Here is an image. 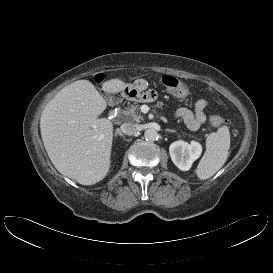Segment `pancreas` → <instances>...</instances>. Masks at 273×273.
Returning a JSON list of instances; mask_svg holds the SVG:
<instances>
[{
	"instance_id": "cf45deb5",
	"label": "pancreas",
	"mask_w": 273,
	"mask_h": 273,
	"mask_svg": "<svg viewBox=\"0 0 273 273\" xmlns=\"http://www.w3.org/2000/svg\"><path fill=\"white\" fill-rule=\"evenodd\" d=\"M158 104L163 105L161 102ZM123 113L130 121L140 122L143 120V116L140 112V106L136 103L127 106Z\"/></svg>"
}]
</instances>
